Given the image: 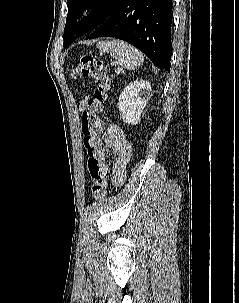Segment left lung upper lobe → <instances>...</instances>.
I'll return each instance as SVG.
<instances>
[{
    "instance_id": "5c2ea615",
    "label": "left lung upper lobe",
    "mask_w": 239,
    "mask_h": 303,
    "mask_svg": "<svg viewBox=\"0 0 239 303\" xmlns=\"http://www.w3.org/2000/svg\"><path fill=\"white\" fill-rule=\"evenodd\" d=\"M121 0H67L68 14L64 29V44L70 45L75 38L98 28L112 14ZM91 13L77 22L83 12ZM76 35V36H75Z\"/></svg>"
}]
</instances>
